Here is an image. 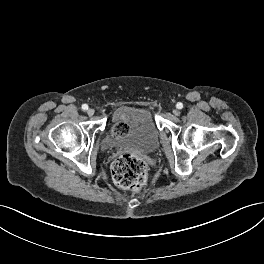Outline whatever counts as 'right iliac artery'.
I'll return each mask as SVG.
<instances>
[{
  "label": "right iliac artery",
  "instance_id": "obj_1",
  "mask_svg": "<svg viewBox=\"0 0 264 264\" xmlns=\"http://www.w3.org/2000/svg\"><path fill=\"white\" fill-rule=\"evenodd\" d=\"M82 110L83 111H87L88 110V105L87 104H83L82 105Z\"/></svg>",
  "mask_w": 264,
  "mask_h": 264
}]
</instances>
